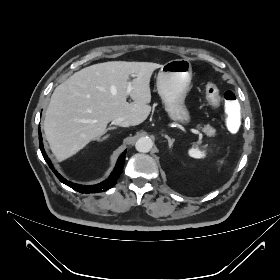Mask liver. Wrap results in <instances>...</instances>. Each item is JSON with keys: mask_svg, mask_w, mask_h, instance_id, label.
<instances>
[{"mask_svg": "<svg viewBox=\"0 0 280 280\" xmlns=\"http://www.w3.org/2000/svg\"><path fill=\"white\" fill-rule=\"evenodd\" d=\"M162 65L152 62L109 61L74 73L54 90L44 120L50 148L59 160L76 154L102 136L107 124L124 117L132 126L151 112L150 78ZM133 90L127 102L129 75Z\"/></svg>", "mask_w": 280, "mask_h": 280, "instance_id": "1", "label": "liver"}]
</instances>
